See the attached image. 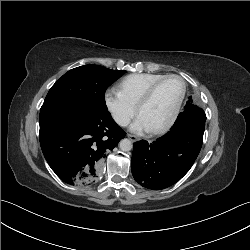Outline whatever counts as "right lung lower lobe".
I'll return each mask as SVG.
<instances>
[{
    "instance_id": "obj_1",
    "label": "right lung lower lobe",
    "mask_w": 250,
    "mask_h": 250,
    "mask_svg": "<svg viewBox=\"0 0 250 250\" xmlns=\"http://www.w3.org/2000/svg\"><path fill=\"white\" fill-rule=\"evenodd\" d=\"M126 133L108 110L65 109L40 120V145L56 175L70 185L97 180L109 151Z\"/></svg>"
}]
</instances>
